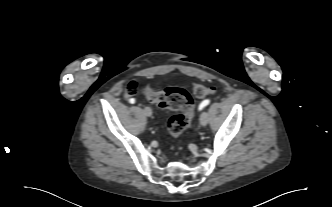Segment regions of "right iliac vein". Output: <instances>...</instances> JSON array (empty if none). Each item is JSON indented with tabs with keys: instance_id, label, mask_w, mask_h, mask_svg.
Returning a JSON list of instances; mask_svg holds the SVG:
<instances>
[{
	"instance_id": "1",
	"label": "right iliac vein",
	"mask_w": 332,
	"mask_h": 207,
	"mask_svg": "<svg viewBox=\"0 0 332 207\" xmlns=\"http://www.w3.org/2000/svg\"><path fill=\"white\" fill-rule=\"evenodd\" d=\"M143 111H144V114L148 117H150L152 115V110L150 107H145Z\"/></svg>"
}]
</instances>
